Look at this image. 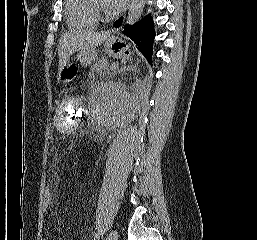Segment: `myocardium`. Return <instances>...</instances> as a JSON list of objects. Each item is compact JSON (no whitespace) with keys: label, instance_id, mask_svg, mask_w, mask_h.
<instances>
[{"label":"myocardium","instance_id":"obj_1","mask_svg":"<svg viewBox=\"0 0 257 240\" xmlns=\"http://www.w3.org/2000/svg\"><path fill=\"white\" fill-rule=\"evenodd\" d=\"M90 7L93 12L100 18L107 13V8L101 3L100 0H89Z\"/></svg>","mask_w":257,"mask_h":240}]
</instances>
